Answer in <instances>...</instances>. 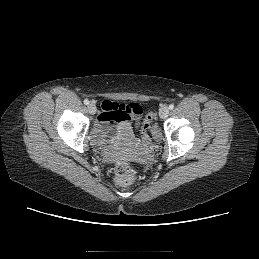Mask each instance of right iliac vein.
I'll use <instances>...</instances> for the list:
<instances>
[{
    "instance_id": "63e3f726",
    "label": "right iliac vein",
    "mask_w": 259,
    "mask_h": 259,
    "mask_svg": "<svg viewBox=\"0 0 259 259\" xmlns=\"http://www.w3.org/2000/svg\"><path fill=\"white\" fill-rule=\"evenodd\" d=\"M87 108H88L89 113L92 115L95 114L97 111L96 105L92 102L88 104Z\"/></svg>"
}]
</instances>
